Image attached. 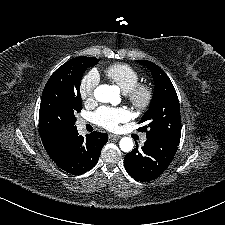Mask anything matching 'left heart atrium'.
Returning a JSON list of instances; mask_svg holds the SVG:
<instances>
[{
    "label": "left heart atrium",
    "mask_w": 225,
    "mask_h": 225,
    "mask_svg": "<svg viewBox=\"0 0 225 225\" xmlns=\"http://www.w3.org/2000/svg\"><path fill=\"white\" fill-rule=\"evenodd\" d=\"M130 112L125 108L101 107L94 114V121L101 127L116 131L121 123L130 119Z\"/></svg>",
    "instance_id": "left-heart-atrium-1"
}]
</instances>
